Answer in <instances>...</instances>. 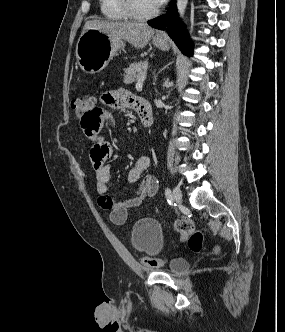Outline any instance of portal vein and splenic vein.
<instances>
[{
	"label": "portal vein and splenic vein",
	"mask_w": 285,
	"mask_h": 332,
	"mask_svg": "<svg viewBox=\"0 0 285 332\" xmlns=\"http://www.w3.org/2000/svg\"><path fill=\"white\" fill-rule=\"evenodd\" d=\"M145 78H146V76H144L140 80H138V82L136 83V86H135L137 90H142L143 82H144Z\"/></svg>",
	"instance_id": "obj_1"
}]
</instances>
